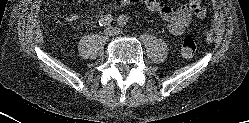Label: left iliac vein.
Listing matches in <instances>:
<instances>
[{
  "instance_id": "left-iliac-vein-1",
  "label": "left iliac vein",
  "mask_w": 249,
  "mask_h": 123,
  "mask_svg": "<svg viewBox=\"0 0 249 123\" xmlns=\"http://www.w3.org/2000/svg\"><path fill=\"white\" fill-rule=\"evenodd\" d=\"M115 30V35H119V34H121V31L119 30V29H114Z\"/></svg>"
}]
</instances>
